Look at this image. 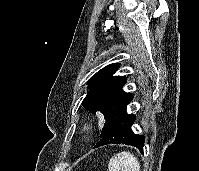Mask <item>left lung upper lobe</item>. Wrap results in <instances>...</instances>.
<instances>
[{
	"instance_id": "1",
	"label": "left lung upper lobe",
	"mask_w": 199,
	"mask_h": 171,
	"mask_svg": "<svg viewBox=\"0 0 199 171\" xmlns=\"http://www.w3.org/2000/svg\"><path fill=\"white\" fill-rule=\"evenodd\" d=\"M119 64H109L94 74L88 81V93L82 105L90 112L100 111L105 120L132 94L123 91L126 78L113 76Z\"/></svg>"
}]
</instances>
